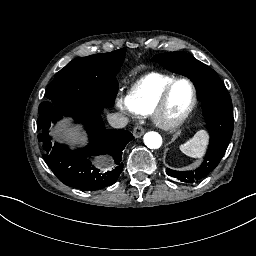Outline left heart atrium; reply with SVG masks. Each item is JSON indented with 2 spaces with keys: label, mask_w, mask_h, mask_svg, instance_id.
<instances>
[{
  "label": "left heart atrium",
  "mask_w": 256,
  "mask_h": 256,
  "mask_svg": "<svg viewBox=\"0 0 256 256\" xmlns=\"http://www.w3.org/2000/svg\"><path fill=\"white\" fill-rule=\"evenodd\" d=\"M152 118L156 125H158L160 127L164 126V124L159 119H157L154 115Z\"/></svg>",
  "instance_id": "obj_1"
}]
</instances>
